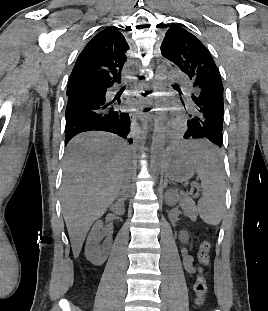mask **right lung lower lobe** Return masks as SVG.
<instances>
[{
  "label": "right lung lower lobe",
  "mask_w": 268,
  "mask_h": 311,
  "mask_svg": "<svg viewBox=\"0 0 268 311\" xmlns=\"http://www.w3.org/2000/svg\"><path fill=\"white\" fill-rule=\"evenodd\" d=\"M98 85L97 93L72 91L66 107L65 145L77 134L86 131H106L128 139L132 116L119 103L110 101L106 92L114 83ZM132 143V139H128Z\"/></svg>",
  "instance_id": "right-lung-lower-lobe-1"
}]
</instances>
